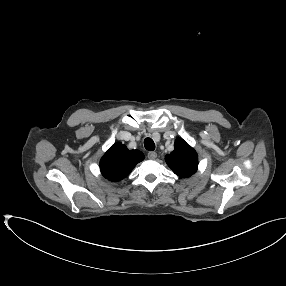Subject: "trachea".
Returning a JSON list of instances; mask_svg holds the SVG:
<instances>
[{"label":"trachea","mask_w":286,"mask_h":286,"mask_svg":"<svg viewBox=\"0 0 286 286\" xmlns=\"http://www.w3.org/2000/svg\"><path fill=\"white\" fill-rule=\"evenodd\" d=\"M144 147L148 151H153L155 149V143L151 138H145Z\"/></svg>","instance_id":"1"}]
</instances>
